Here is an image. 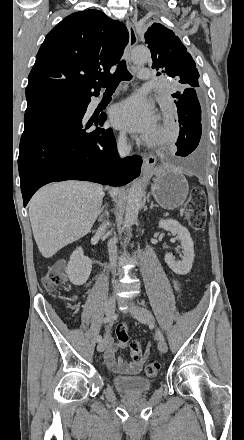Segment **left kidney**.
Wrapping results in <instances>:
<instances>
[{
	"mask_svg": "<svg viewBox=\"0 0 244 440\" xmlns=\"http://www.w3.org/2000/svg\"><path fill=\"white\" fill-rule=\"evenodd\" d=\"M158 228H163V230H167V232H171V234H177V238L180 240L183 248L182 260L178 262V260H175L173 254H165V262L175 274L186 276L193 266L195 256L194 244L189 230L181 226L176 220H160Z\"/></svg>",
	"mask_w": 244,
	"mask_h": 440,
	"instance_id": "left-kidney-1",
	"label": "left kidney"
}]
</instances>
